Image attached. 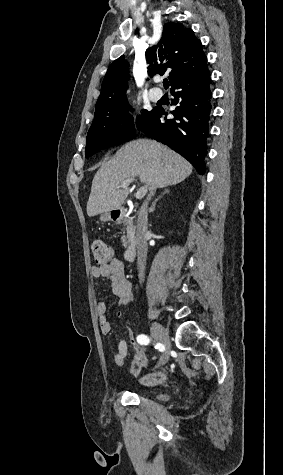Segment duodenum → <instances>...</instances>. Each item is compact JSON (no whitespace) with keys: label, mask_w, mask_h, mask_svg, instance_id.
<instances>
[{"label":"duodenum","mask_w":283,"mask_h":475,"mask_svg":"<svg viewBox=\"0 0 283 475\" xmlns=\"http://www.w3.org/2000/svg\"><path fill=\"white\" fill-rule=\"evenodd\" d=\"M129 218V212L126 209H119L112 213V220L114 221H127ZM137 251V244L136 241L133 239L128 244L124 251V258L127 261H133L136 256Z\"/></svg>","instance_id":"410a0bca"}]
</instances>
